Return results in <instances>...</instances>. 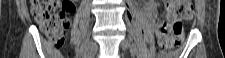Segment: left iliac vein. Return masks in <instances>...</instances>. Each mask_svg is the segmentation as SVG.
<instances>
[{
    "instance_id": "obj_1",
    "label": "left iliac vein",
    "mask_w": 225,
    "mask_h": 58,
    "mask_svg": "<svg viewBox=\"0 0 225 58\" xmlns=\"http://www.w3.org/2000/svg\"><path fill=\"white\" fill-rule=\"evenodd\" d=\"M121 46L124 49H131V43L128 39H124L121 41Z\"/></svg>"
}]
</instances>
